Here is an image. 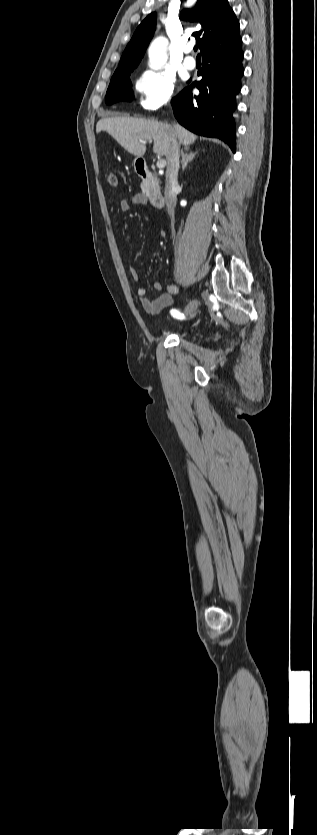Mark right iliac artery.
Masks as SVG:
<instances>
[{"instance_id":"82829eb1","label":"right iliac artery","mask_w":317,"mask_h":835,"mask_svg":"<svg viewBox=\"0 0 317 835\" xmlns=\"http://www.w3.org/2000/svg\"><path fill=\"white\" fill-rule=\"evenodd\" d=\"M171 315H172L173 317L180 318V319H184V318H185L184 314H183V313H180V312H179L178 310H176V309H172V310H171Z\"/></svg>"}]
</instances>
